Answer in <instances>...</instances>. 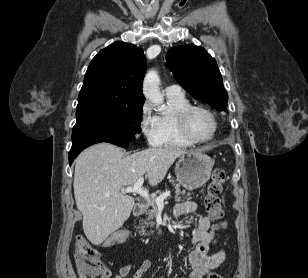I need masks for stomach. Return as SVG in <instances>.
I'll list each match as a JSON object with an SVG mask.
<instances>
[{
    "mask_svg": "<svg viewBox=\"0 0 308 278\" xmlns=\"http://www.w3.org/2000/svg\"><path fill=\"white\" fill-rule=\"evenodd\" d=\"M213 168L212 159L201 152H187L179 157L175 174L177 181L187 190L202 187L209 180Z\"/></svg>",
    "mask_w": 308,
    "mask_h": 278,
    "instance_id": "obj_1",
    "label": "stomach"
}]
</instances>
